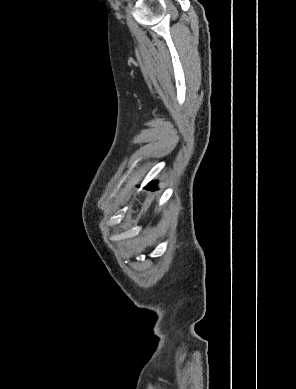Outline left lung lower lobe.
<instances>
[{
  "mask_svg": "<svg viewBox=\"0 0 296 389\" xmlns=\"http://www.w3.org/2000/svg\"><path fill=\"white\" fill-rule=\"evenodd\" d=\"M157 182H150L149 184L146 185V189L147 190H155V185H156Z\"/></svg>",
  "mask_w": 296,
  "mask_h": 389,
  "instance_id": "obj_1",
  "label": "left lung lower lobe"
}]
</instances>
